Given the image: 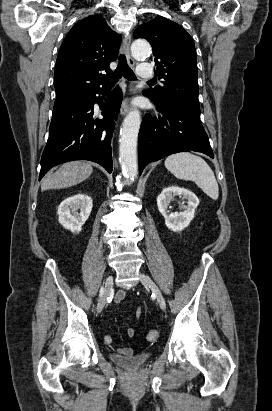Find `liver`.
Here are the masks:
<instances>
[{
  "label": "liver",
  "instance_id": "6515ba94",
  "mask_svg": "<svg viewBox=\"0 0 272 411\" xmlns=\"http://www.w3.org/2000/svg\"><path fill=\"white\" fill-rule=\"evenodd\" d=\"M93 172L90 163L83 161H71L49 174L41 184V190L61 189L74 186L86 180Z\"/></svg>",
  "mask_w": 272,
  "mask_h": 411
}]
</instances>
